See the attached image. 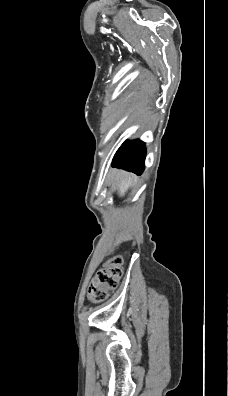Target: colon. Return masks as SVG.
<instances>
[{
	"instance_id": "obj_1",
	"label": "colon",
	"mask_w": 228,
	"mask_h": 396,
	"mask_svg": "<svg viewBox=\"0 0 228 396\" xmlns=\"http://www.w3.org/2000/svg\"><path fill=\"white\" fill-rule=\"evenodd\" d=\"M123 260L120 255L110 257L97 272L88 288V298L93 303L104 301L109 291L115 289L122 276Z\"/></svg>"
}]
</instances>
